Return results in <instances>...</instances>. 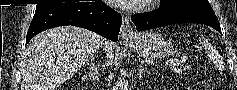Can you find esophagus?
Segmentation results:
<instances>
[{
    "label": "esophagus",
    "instance_id": "1",
    "mask_svg": "<svg viewBox=\"0 0 237 90\" xmlns=\"http://www.w3.org/2000/svg\"><path fill=\"white\" fill-rule=\"evenodd\" d=\"M120 36L123 42H131L136 37L134 30L131 27L130 18L126 15L123 16Z\"/></svg>",
    "mask_w": 237,
    "mask_h": 90
}]
</instances>
